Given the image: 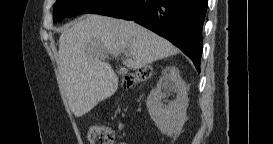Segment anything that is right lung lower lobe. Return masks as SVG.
I'll return each mask as SVG.
<instances>
[{"label": "right lung lower lobe", "instance_id": "98d812e1", "mask_svg": "<svg viewBox=\"0 0 273 144\" xmlns=\"http://www.w3.org/2000/svg\"><path fill=\"white\" fill-rule=\"evenodd\" d=\"M208 0H109L91 14L132 20L163 36L200 72L202 28Z\"/></svg>", "mask_w": 273, "mask_h": 144}]
</instances>
